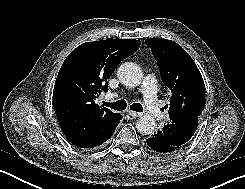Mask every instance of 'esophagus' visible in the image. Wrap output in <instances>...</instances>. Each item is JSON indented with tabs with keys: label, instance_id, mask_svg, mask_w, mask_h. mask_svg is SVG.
<instances>
[{
	"label": "esophagus",
	"instance_id": "obj_1",
	"mask_svg": "<svg viewBox=\"0 0 245 189\" xmlns=\"http://www.w3.org/2000/svg\"><path fill=\"white\" fill-rule=\"evenodd\" d=\"M128 114H129V116L132 118V119H136V118H138V117H140L141 116V113H138V112H135V111H128Z\"/></svg>",
	"mask_w": 245,
	"mask_h": 189
}]
</instances>
